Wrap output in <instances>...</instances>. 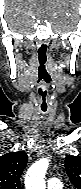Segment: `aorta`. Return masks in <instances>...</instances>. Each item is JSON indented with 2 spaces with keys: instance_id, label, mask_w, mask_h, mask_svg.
<instances>
[{
  "instance_id": "obj_1",
  "label": "aorta",
  "mask_w": 81,
  "mask_h": 189,
  "mask_svg": "<svg viewBox=\"0 0 81 189\" xmlns=\"http://www.w3.org/2000/svg\"><path fill=\"white\" fill-rule=\"evenodd\" d=\"M49 167V160L46 158L35 162L27 171L25 176L26 189H45L44 178Z\"/></svg>"
}]
</instances>
